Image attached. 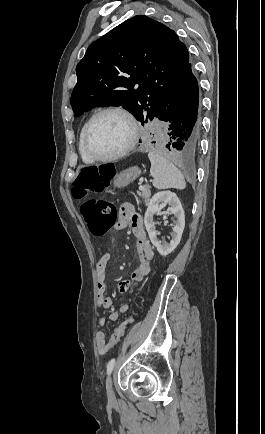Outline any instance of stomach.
Returning a JSON list of instances; mask_svg holds the SVG:
<instances>
[{
  "label": "stomach",
  "instance_id": "1",
  "mask_svg": "<svg viewBox=\"0 0 265 434\" xmlns=\"http://www.w3.org/2000/svg\"><path fill=\"white\" fill-rule=\"evenodd\" d=\"M140 174L139 168L137 166H133V168H128V170H123L120 174H117L115 178H113V186L114 188H125L131 182H134L136 178H138Z\"/></svg>",
  "mask_w": 265,
  "mask_h": 434
}]
</instances>
